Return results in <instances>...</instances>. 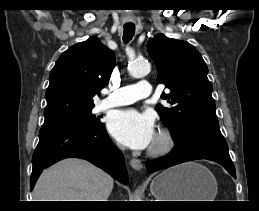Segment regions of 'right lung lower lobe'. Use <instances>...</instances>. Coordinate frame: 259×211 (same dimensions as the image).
<instances>
[{
	"mask_svg": "<svg viewBox=\"0 0 259 211\" xmlns=\"http://www.w3.org/2000/svg\"><path fill=\"white\" fill-rule=\"evenodd\" d=\"M68 157L88 160L119 181L127 182L124 157L109 138L104 124L90 128L53 125L42 127L39 132V143L32 157L30 189L43 169Z\"/></svg>",
	"mask_w": 259,
	"mask_h": 211,
	"instance_id": "98d812e1",
	"label": "right lung lower lobe"
}]
</instances>
